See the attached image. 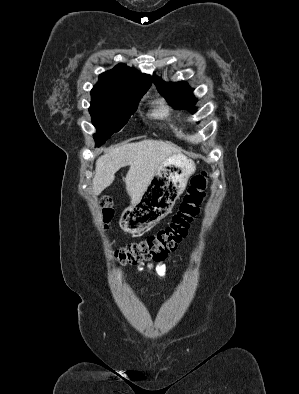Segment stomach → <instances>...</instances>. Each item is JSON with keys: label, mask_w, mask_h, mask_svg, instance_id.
<instances>
[{"label": "stomach", "mask_w": 299, "mask_h": 394, "mask_svg": "<svg viewBox=\"0 0 299 394\" xmlns=\"http://www.w3.org/2000/svg\"><path fill=\"white\" fill-rule=\"evenodd\" d=\"M195 170L194 162L181 153L167 157L140 201L123 211L120 227L127 233H140L166 217Z\"/></svg>", "instance_id": "stomach-1"}]
</instances>
